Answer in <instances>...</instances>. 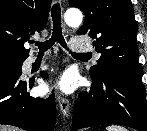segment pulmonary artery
Masks as SVG:
<instances>
[{"instance_id": "e3ab8cb5", "label": "pulmonary artery", "mask_w": 147, "mask_h": 131, "mask_svg": "<svg viewBox=\"0 0 147 131\" xmlns=\"http://www.w3.org/2000/svg\"><path fill=\"white\" fill-rule=\"evenodd\" d=\"M71 49L74 52H78V53H85V52H89L92 51V46L90 43L79 39V38H73L71 40ZM96 57H99L98 53H95ZM36 61V57L34 56H30L27 60H26V65L30 66L32 65L34 62Z\"/></svg>"}]
</instances>
